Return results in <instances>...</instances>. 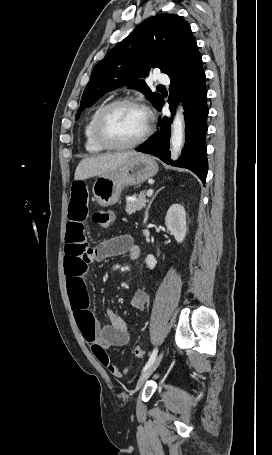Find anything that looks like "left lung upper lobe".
Returning a JSON list of instances; mask_svg holds the SVG:
<instances>
[{
    "instance_id": "obj_1",
    "label": "left lung upper lobe",
    "mask_w": 272,
    "mask_h": 455,
    "mask_svg": "<svg viewBox=\"0 0 272 455\" xmlns=\"http://www.w3.org/2000/svg\"><path fill=\"white\" fill-rule=\"evenodd\" d=\"M200 56L191 28L180 16L159 14L146 20L94 67L76 119L105 93L124 85L143 92L156 107L161 95L140 78L156 67L171 76Z\"/></svg>"
}]
</instances>
